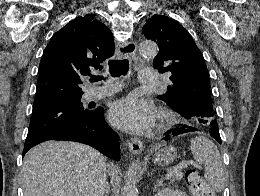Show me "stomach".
Segmentation results:
<instances>
[{"label": "stomach", "instance_id": "obj_1", "mask_svg": "<svg viewBox=\"0 0 260 196\" xmlns=\"http://www.w3.org/2000/svg\"><path fill=\"white\" fill-rule=\"evenodd\" d=\"M177 156V150L174 146H165V148H161V150L155 152L153 162L157 166H169V164H172L176 160Z\"/></svg>", "mask_w": 260, "mask_h": 196}]
</instances>
